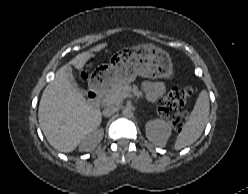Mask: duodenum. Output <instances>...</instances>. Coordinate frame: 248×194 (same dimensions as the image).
Segmentation results:
<instances>
[{
	"mask_svg": "<svg viewBox=\"0 0 248 194\" xmlns=\"http://www.w3.org/2000/svg\"><path fill=\"white\" fill-rule=\"evenodd\" d=\"M100 87H101V83L95 81L88 92V101L92 107H96L100 103V98H101Z\"/></svg>",
	"mask_w": 248,
	"mask_h": 194,
	"instance_id": "1",
	"label": "duodenum"
}]
</instances>
